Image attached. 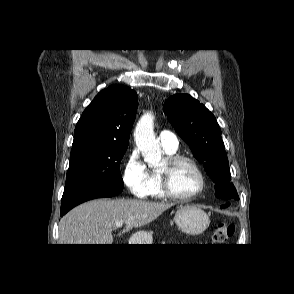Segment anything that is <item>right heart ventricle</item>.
<instances>
[{"label":"right heart ventricle","mask_w":294,"mask_h":294,"mask_svg":"<svg viewBox=\"0 0 294 294\" xmlns=\"http://www.w3.org/2000/svg\"><path fill=\"white\" fill-rule=\"evenodd\" d=\"M164 151L166 152L168 156H173L176 153V151L171 152L166 149H164ZM151 175H152V182L149 188V195L157 199L166 198V195L164 194L161 188V177L159 174V170L152 171Z\"/></svg>","instance_id":"e07e8e85"}]
</instances>
